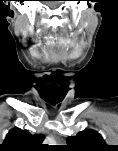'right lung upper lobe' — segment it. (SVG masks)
<instances>
[{
  "mask_svg": "<svg viewBox=\"0 0 118 151\" xmlns=\"http://www.w3.org/2000/svg\"><path fill=\"white\" fill-rule=\"evenodd\" d=\"M43 134L31 135L27 130L14 128L8 132L0 151H34L43 148Z\"/></svg>",
  "mask_w": 118,
  "mask_h": 151,
  "instance_id": "obj_1",
  "label": "right lung upper lobe"
}]
</instances>
